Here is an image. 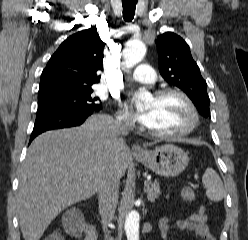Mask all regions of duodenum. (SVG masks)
I'll return each instance as SVG.
<instances>
[{
    "label": "duodenum",
    "instance_id": "duodenum-1",
    "mask_svg": "<svg viewBox=\"0 0 248 240\" xmlns=\"http://www.w3.org/2000/svg\"><path fill=\"white\" fill-rule=\"evenodd\" d=\"M78 226L84 236V240H97V231L87 223L80 221Z\"/></svg>",
    "mask_w": 248,
    "mask_h": 240
}]
</instances>
